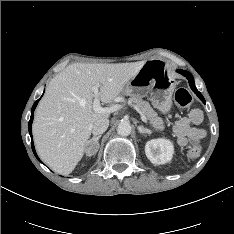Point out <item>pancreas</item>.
Returning a JSON list of instances; mask_svg holds the SVG:
<instances>
[{
	"label": "pancreas",
	"mask_w": 234,
	"mask_h": 234,
	"mask_svg": "<svg viewBox=\"0 0 234 234\" xmlns=\"http://www.w3.org/2000/svg\"><path fill=\"white\" fill-rule=\"evenodd\" d=\"M128 104L135 106L144 114L155 129L163 130L165 128L162 118L158 117L157 112L154 111L149 102L142 100L140 97H131L128 99Z\"/></svg>",
	"instance_id": "cf45deb5"
}]
</instances>
